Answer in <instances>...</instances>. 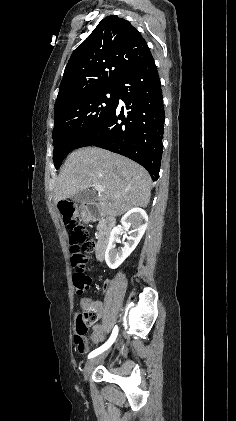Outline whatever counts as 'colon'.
Here are the masks:
<instances>
[{"label":"colon","instance_id":"colon-1","mask_svg":"<svg viewBox=\"0 0 236 421\" xmlns=\"http://www.w3.org/2000/svg\"><path fill=\"white\" fill-rule=\"evenodd\" d=\"M63 218L69 232L71 265L76 269L73 274V284L75 292L80 295L91 287V279L84 271L87 263L86 252L90 249L91 243L87 241V231L80 224L79 213L75 208L64 206ZM97 318L98 311L90 304L82 305L77 314L74 343L81 354L87 351L85 335Z\"/></svg>","mask_w":236,"mask_h":421}]
</instances>
